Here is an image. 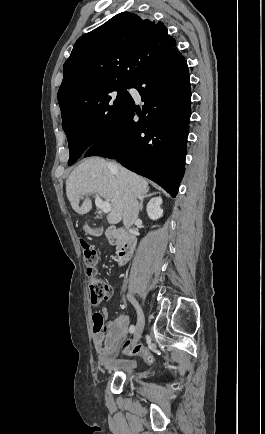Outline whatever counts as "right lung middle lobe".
Listing matches in <instances>:
<instances>
[{"instance_id":"dd1d6c3e","label":"right lung middle lobe","mask_w":265,"mask_h":434,"mask_svg":"<svg viewBox=\"0 0 265 434\" xmlns=\"http://www.w3.org/2000/svg\"><path fill=\"white\" fill-rule=\"evenodd\" d=\"M133 81L105 79L58 98L72 165L95 142L110 132L133 104L127 88Z\"/></svg>"}]
</instances>
